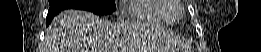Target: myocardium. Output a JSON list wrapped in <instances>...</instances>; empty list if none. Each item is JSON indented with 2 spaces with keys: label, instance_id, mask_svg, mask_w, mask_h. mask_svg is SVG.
<instances>
[{
  "label": "myocardium",
  "instance_id": "f54148a6",
  "mask_svg": "<svg viewBox=\"0 0 261 52\" xmlns=\"http://www.w3.org/2000/svg\"><path fill=\"white\" fill-rule=\"evenodd\" d=\"M172 2H176L171 0ZM171 18L173 19V21L180 19L183 16V10L180 8H176V9H172L171 12Z\"/></svg>",
  "mask_w": 261,
  "mask_h": 52
}]
</instances>
